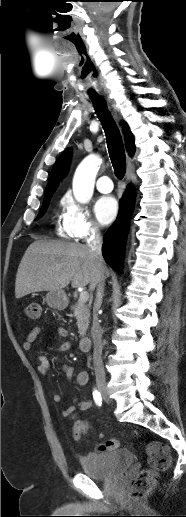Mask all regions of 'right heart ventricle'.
Masks as SVG:
<instances>
[{"label":"right heart ventricle","instance_id":"1","mask_svg":"<svg viewBox=\"0 0 186 517\" xmlns=\"http://www.w3.org/2000/svg\"><path fill=\"white\" fill-rule=\"evenodd\" d=\"M58 231L61 236L67 237L69 235L63 226Z\"/></svg>","mask_w":186,"mask_h":517}]
</instances>
